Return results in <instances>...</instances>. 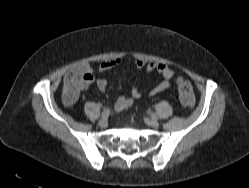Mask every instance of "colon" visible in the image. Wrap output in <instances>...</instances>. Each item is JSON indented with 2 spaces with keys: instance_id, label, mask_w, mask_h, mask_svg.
<instances>
[{
  "instance_id": "5ec220e1",
  "label": "colon",
  "mask_w": 249,
  "mask_h": 188,
  "mask_svg": "<svg viewBox=\"0 0 249 188\" xmlns=\"http://www.w3.org/2000/svg\"><path fill=\"white\" fill-rule=\"evenodd\" d=\"M70 75L74 77L76 75L75 70L70 71ZM176 86L179 95V101L185 108H191L194 105L195 98L191 83L184 77L176 78Z\"/></svg>"
}]
</instances>
